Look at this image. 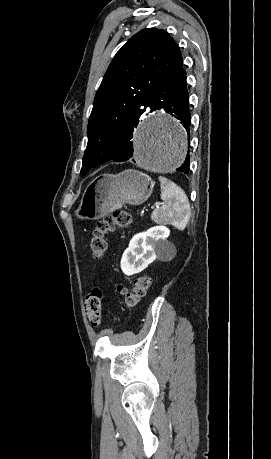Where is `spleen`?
<instances>
[{
  "mask_svg": "<svg viewBox=\"0 0 271 459\" xmlns=\"http://www.w3.org/2000/svg\"><path fill=\"white\" fill-rule=\"evenodd\" d=\"M161 188V200H164L163 206L154 210L152 214L153 220L157 224H171L174 228L185 229L190 216V208L187 206V196L183 190L159 176Z\"/></svg>",
  "mask_w": 271,
  "mask_h": 459,
  "instance_id": "obj_1",
  "label": "spleen"
}]
</instances>
